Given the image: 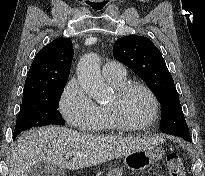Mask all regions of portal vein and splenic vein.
I'll use <instances>...</instances> for the list:
<instances>
[{
	"mask_svg": "<svg viewBox=\"0 0 205 176\" xmlns=\"http://www.w3.org/2000/svg\"><path fill=\"white\" fill-rule=\"evenodd\" d=\"M73 154H74L73 152H67L65 157L68 159L72 157Z\"/></svg>",
	"mask_w": 205,
	"mask_h": 176,
	"instance_id": "18ae733b",
	"label": "portal vein and splenic vein"
}]
</instances>
